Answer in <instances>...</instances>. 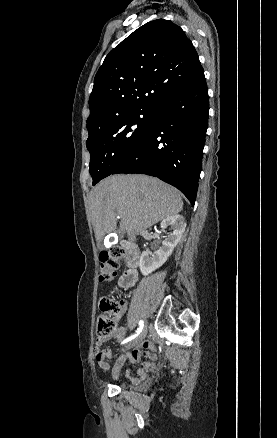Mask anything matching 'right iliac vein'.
Instances as JSON below:
<instances>
[{
	"label": "right iliac vein",
	"instance_id": "right-iliac-vein-1",
	"mask_svg": "<svg viewBox=\"0 0 277 438\" xmlns=\"http://www.w3.org/2000/svg\"><path fill=\"white\" fill-rule=\"evenodd\" d=\"M147 334V325H145L144 329L141 331V333L138 335V337H136L134 340H132L131 342H129L124 348L123 350H129L133 347H135L136 345H138L140 342L143 341V339L146 337Z\"/></svg>",
	"mask_w": 277,
	"mask_h": 438
}]
</instances>
